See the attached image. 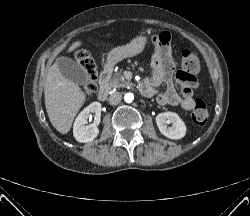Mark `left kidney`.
<instances>
[{
  "mask_svg": "<svg viewBox=\"0 0 250 216\" xmlns=\"http://www.w3.org/2000/svg\"><path fill=\"white\" fill-rule=\"evenodd\" d=\"M156 123L161 134L169 139H181L187 131L184 121L174 112L159 113L156 116ZM166 123H172V126L168 127Z\"/></svg>",
  "mask_w": 250,
  "mask_h": 216,
  "instance_id": "5707ae66",
  "label": "left kidney"
}]
</instances>
